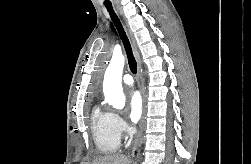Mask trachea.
Masks as SVG:
<instances>
[{
    "mask_svg": "<svg viewBox=\"0 0 251 164\" xmlns=\"http://www.w3.org/2000/svg\"><path fill=\"white\" fill-rule=\"evenodd\" d=\"M105 6L110 14V17L114 23V25L116 26L118 33L121 37V40L123 42L126 54H127V58H128V64L130 67V70L133 74H136L137 72V63L135 61V58L132 54V49H131V45L129 42V39L124 31V28L118 18V16L116 15V13L114 12L113 8H112V4L110 2H106Z\"/></svg>",
    "mask_w": 251,
    "mask_h": 164,
    "instance_id": "obj_1",
    "label": "trachea"
}]
</instances>
